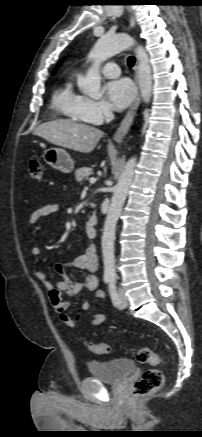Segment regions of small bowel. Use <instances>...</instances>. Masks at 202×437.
<instances>
[{
    "mask_svg": "<svg viewBox=\"0 0 202 437\" xmlns=\"http://www.w3.org/2000/svg\"><path fill=\"white\" fill-rule=\"evenodd\" d=\"M59 210L58 203L46 204L31 213L28 218V226L34 225L43 217L49 216L56 213ZM34 256H39L41 250L38 246L32 247L31 250ZM67 269H76L86 272L83 280L73 281L66 273ZM98 270V257L93 247H89L86 251L79 254L72 262L68 264H58L56 265V272L59 276V280L52 284L46 280V275L40 270H35L33 276L38 281H41L46 289L48 290V295L50 302L57 314V316L69 327H74L79 321L81 315L77 318H72L69 315L70 304L64 299V296H75L87 290L89 292L95 293V298L97 300L105 299V293L98 290V278L96 276V271ZM92 307V303L89 300H84L81 305L82 312L89 311ZM92 326H99L105 320V316L101 313L94 312L91 315Z\"/></svg>",
    "mask_w": 202,
    "mask_h": 437,
    "instance_id": "1",
    "label": "small bowel"
}]
</instances>
